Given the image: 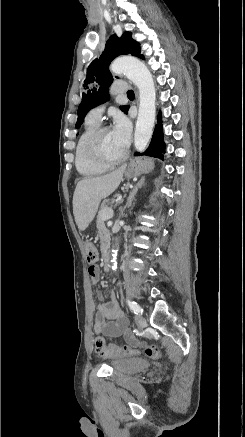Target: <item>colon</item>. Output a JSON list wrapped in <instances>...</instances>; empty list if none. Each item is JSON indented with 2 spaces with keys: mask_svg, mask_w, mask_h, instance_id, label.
Masks as SVG:
<instances>
[{
  "mask_svg": "<svg viewBox=\"0 0 245 437\" xmlns=\"http://www.w3.org/2000/svg\"><path fill=\"white\" fill-rule=\"evenodd\" d=\"M86 260L89 264V273L95 270V264L97 261V250L91 244L87 243L85 248ZM95 351L101 356L118 355V356H132L138 354H144L145 356L158 359L162 356L161 349L156 345H147L141 348L134 346H117L115 344H106L104 338L100 335L95 337L94 340Z\"/></svg>",
  "mask_w": 245,
  "mask_h": 437,
  "instance_id": "colon-1",
  "label": "colon"
}]
</instances>
